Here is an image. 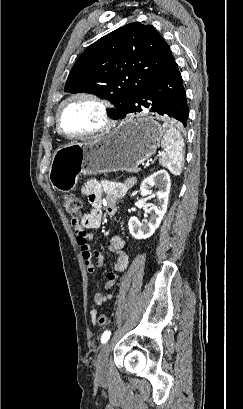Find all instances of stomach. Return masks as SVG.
<instances>
[{
  "label": "stomach",
  "instance_id": "0dacf381",
  "mask_svg": "<svg viewBox=\"0 0 243 409\" xmlns=\"http://www.w3.org/2000/svg\"><path fill=\"white\" fill-rule=\"evenodd\" d=\"M163 129L153 117L130 116L109 133L83 142H71L56 150L49 169L53 188H75L81 174L133 170L157 150Z\"/></svg>",
  "mask_w": 243,
  "mask_h": 409
}]
</instances>
